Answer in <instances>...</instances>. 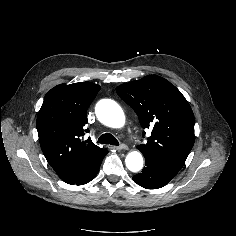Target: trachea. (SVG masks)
Listing matches in <instances>:
<instances>
[{
    "label": "trachea",
    "mask_w": 236,
    "mask_h": 236,
    "mask_svg": "<svg viewBox=\"0 0 236 236\" xmlns=\"http://www.w3.org/2000/svg\"><path fill=\"white\" fill-rule=\"evenodd\" d=\"M98 143L119 145L118 140L112 134L109 133L101 135L98 139Z\"/></svg>",
    "instance_id": "obj_1"
}]
</instances>
